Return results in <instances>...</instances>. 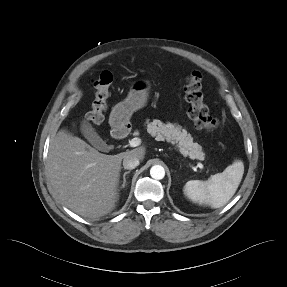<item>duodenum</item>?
Returning a JSON list of instances; mask_svg holds the SVG:
<instances>
[{"instance_id": "obj_1", "label": "duodenum", "mask_w": 287, "mask_h": 287, "mask_svg": "<svg viewBox=\"0 0 287 287\" xmlns=\"http://www.w3.org/2000/svg\"><path fill=\"white\" fill-rule=\"evenodd\" d=\"M124 112H120L113 123V137L116 139L123 138L128 133V122L124 117Z\"/></svg>"}]
</instances>
